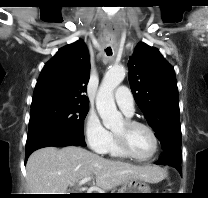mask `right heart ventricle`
I'll use <instances>...</instances> for the list:
<instances>
[{"mask_svg":"<svg viewBox=\"0 0 208 198\" xmlns=\"http://www.w3.org/2000/svg\"><path fill=\"white\" fill-rule=\"evenodd\" d=\"M106 153H108L111 157L114 158H120V159L127 158V156L119 149L113 137L111 138V142L109 144Z\"/></svg>","mask_w":208,"mask_h":198,"instance_id":"right-heart-ventricle-1","label":"right heart ventricle"}]
</instances>
